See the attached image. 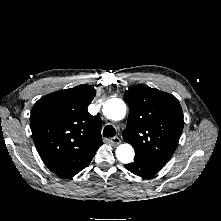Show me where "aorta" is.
Instances as JSON below:
<instances>
[{"instance_id": "aorta-1", "label": "aorta", "mask_w": 221, "mask_h": 221, "mask_svg": "<svg viewBox=\"0 0 221 221\" xmlns=\"http://www.w3.org/2000/svg\"><path fill=\"white\" fill-rule=\"evenodd\" d=\"M103 114L111 120H122L126 115V105L124 101L118 98H112L103 105ZM134 149L128 144L124 143L116 148L117 159L125 164H128L134 159Z\"/></svg>"}]
</instances>
